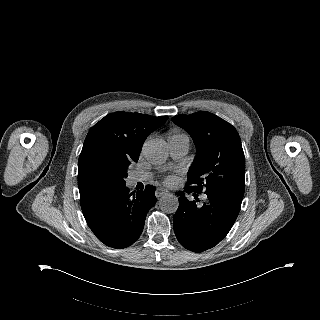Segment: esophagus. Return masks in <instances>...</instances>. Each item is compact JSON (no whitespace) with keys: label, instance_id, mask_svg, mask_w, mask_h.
<instances>
[{"label":"esophagus","instance_id":"obj_1","mask_svg":"<svg viewBox=\"0 0 320 320\" xmlns=\"http://www.w3.org/2000/svg\"><path fill=\"white\" fill-rule=\"evenodd\" d=\"M167 193H169V191L167 189L163 188V187L157 188V190L155 192L156 197H158V198L163 196V195H165V194H167Z\"/></svg>","mask_w":320,"mask_h":320}]
</instances>
